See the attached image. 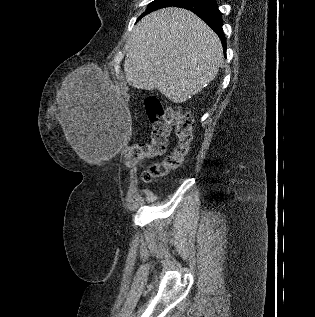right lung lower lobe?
Returning <instances> with one entry per match:
<instances>
[{"instance_id": "obj_1", "label": "right lung lower lobe", "mask_w": 315, "mask_h": 317, "mask_svg": "<svg viewBox=\"0 0 315 317\" xmlns=\"http://www.w3.org/2000/svg\"><path fill=\"white\" fill-rule=\"evenodd\" d=\"M171 6L188 9L204 20L220 37L224 52L226 51V39L222 30L221 13L215 0H180Z\"/></svg>"}]
</instances>
